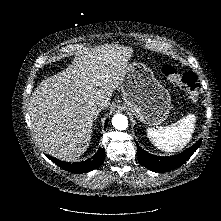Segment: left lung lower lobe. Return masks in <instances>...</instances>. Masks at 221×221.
Listing matches in <instances>:
<instances>
[{
  "label": "left lung lower lobe",
  "instance_id": "0a47b994",
  "mask_svg": "<svg viewBox=\"0 0 221 221\" xmlns=\"http://www.w3.org/2000/svg\"><path fill=\"white\" fill-rule=\"evenodd\" d=\"M201 141L202 139L197 141L192 147L188 148L182 153L171 157H159L149 154L137 144L138 160L142 165H144V167L150 170H156V171L173 170L183 165L191 157V155L200 146Z\"/></svg>",
  "mask_w": 221,
  "mask_h": 221
}]
</instances>
